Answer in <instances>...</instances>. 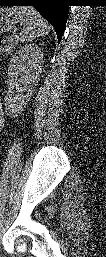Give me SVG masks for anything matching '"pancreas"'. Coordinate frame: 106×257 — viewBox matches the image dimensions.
I'll return each mask as SVG.
<instances>
[{
	"instance_id": "1",
	"label": "pancreas",
	"mask_w": 106,
	"mask_h": 257,
	"mask_svg": "<svg viewBox=\"0 0 106 257\" xmlns=\"http://www.w3.org/2000/svg\"><path fill=\"white\" fill-rule=\"evenodd\" d=\"M18 42H19L18 36L6 37L1 41L2 45L0 47V52L2 54L5 53L6 55L12 53L16 48Z\"/></svg>"
}]
</instances>
